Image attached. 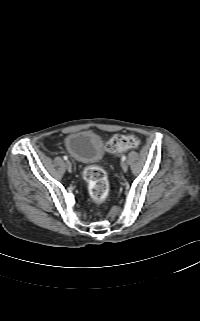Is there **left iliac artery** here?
I'll list each match as a JSON object with an SVG mask.
<instances>
[{"instance_id":"obj_1","label":"left iliac artery","mask_w":200,"mask_h":321,"mask_svg":"<svg viewBox=\"0 0 200 321\" xmlns=\"http://www.w3.org/2000/svg\"><path fill=\"white\" fill-rule=\"evenodd\" d=\"M121 159H122V161H125L126 160V156L123 155Z\"/></svg>"}]
</instances>
